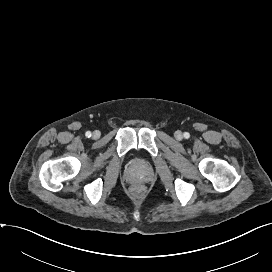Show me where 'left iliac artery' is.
<instances>
[{"label":"left iliac artery","instance_id":"left-iliac-artery-1","mask_svg":"<svg viewBox=\"0 0 272 272\" xmlns=\"http://www.w3.org/2000/svg\"><path fill=\"white\" fill-rule=\"evenodd\" d=\"M190 137V134L188 132L184 133V138L188 139Z\"/></svg>","mask_w":272,"mask_h":272}]
</instances>
